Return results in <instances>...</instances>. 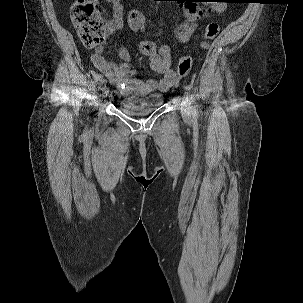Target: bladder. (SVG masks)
<instances>
[{"label":"bladder","instance_id":"bladder-1","mask_svg":"<svg viewBox=\"0 0 303 303\" xmlns=\"http://www.w3.org/2000/svg\"><path fill=\"white\" fill-rule=\"evenodd\" d=\"M164 101L163 94H123L119 100V106L122 112L141 117L158 109Z\"/></svg>","mask_w":303,"mask_h":303}]
</instances>
